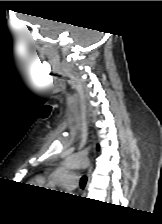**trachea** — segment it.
<instances>
[{
	"mask_svg": "<svg viewBox=\"0 0 162 224\" xmlns=\"http://www.w3.org/2000/svg\"><path fill=\"white\" fill-rule=\"evenodd\" d=\"M86 182H87V178H86V176H83L81 178V180H80V186H81V188H84L85 187Z\"/></svg>",
	"mask_w": 162,
	"mask_h": 224,
	"instance_id": "trachea-1",
	"label": "trachea"
}]
</instances>
